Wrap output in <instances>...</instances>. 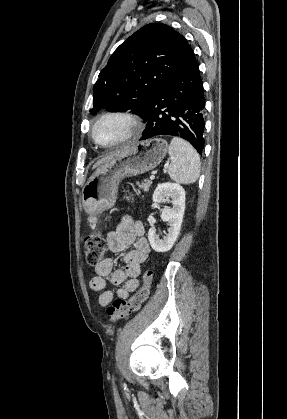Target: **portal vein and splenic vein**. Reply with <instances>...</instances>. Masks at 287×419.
Segmentation results:
<instances>
[{
  "label": "portal vein and splenic vein",
  "instance_id": "18ae733b",
  "mask_svg": "<svg viewBox=\"0 0 287 419\" xmlns=\"http://www.w3.org/2000/svg\"><path fill=\"white\" fill-rule=\"evenodd\" d=\"M155 179V176L154 175H151L150 176V180H154Z\"/></svg>",
  "mask_w": 287,
  "mask_h": 419
}]
</instances>
